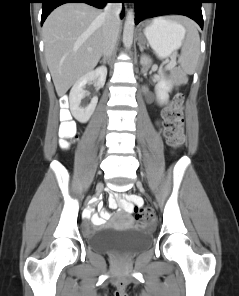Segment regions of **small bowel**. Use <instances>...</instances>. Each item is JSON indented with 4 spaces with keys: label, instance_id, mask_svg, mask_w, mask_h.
Returning a JSON list of instances; mask_svg holds the SVG:
<instances>
[{
    "label": "small bowel",
    "instance_id": "c3829d8e",
    "mask_svg": "<svg viewBox=\"0 0 239 296\" xmlns=\"http://www.w3.org/2000/svg\"><path fill=\"white\" fill-rule=\"evenodd\" d=\"M143 201L136 195H111L109 198V207L111 209L120 208L126 213H132L134 205H142ZM85 215L89 217L96 226L103 225L111 214L105 209H101L100 214L92 213L90 210L85 211Z\"/></svg>",
    "mask_w": 239,
    "mask_h": 296
}]
</instances>
